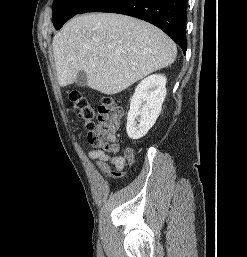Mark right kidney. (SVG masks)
<instances>
[{"mask_svg": "<svg viewBox=\"0 0 247 257\" xmlns=\"http://www.w3.org/2000/svg\"><path fill=\"white\" fill-rule=\"evenodd\" d=\"M165 85L166 77L161 74L150 75L138 84L127 116L126 131L129 138H142L155 124L166 96Z\"/></svg>", "mask_w": 247, "mask_h": 257, "instance_id": "ca27d5eb", "label": "right kidney"}]
</instances>
